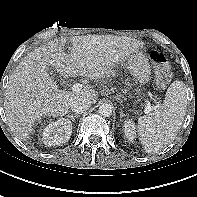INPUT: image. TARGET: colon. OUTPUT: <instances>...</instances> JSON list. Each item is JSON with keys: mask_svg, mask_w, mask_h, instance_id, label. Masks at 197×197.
<instances>
[{"mask_svg": "<svg viewBox=\"0 0 197 197\" xmlns=\"http://www.w3.org/2000/svg\"><path fill=\"white\" fill-rule=\"evenodd\" d=\"M149 59L154 65L158 85L160 87H165L169 83L171 77L167 58L160 51L151 50L149 53Z\"/></svg>", "mask_w": 197, "mask_h": 197, "instance_id": "5ec220e1", "label": "colon"}]
</instances>
